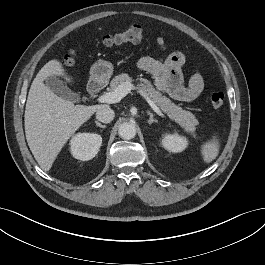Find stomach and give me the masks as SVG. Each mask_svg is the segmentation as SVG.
Instances as JSON below:
<instances>
[{"instance_id": "1", "label": "stomach", "mask_w": 265, "mask_h": 265, "mask_svg": "<svg viewBox=\"0 0 265 265\" xmlns=\"http://www.w3.org/2000/svg\"><path fill=\"white\" fill-rule=\"evenodd\" d=\"M113 69L111 62L105 60L97 61L91 66L90 80L98 84H105L112 76Z\"/></svg>"}]
</instances>
